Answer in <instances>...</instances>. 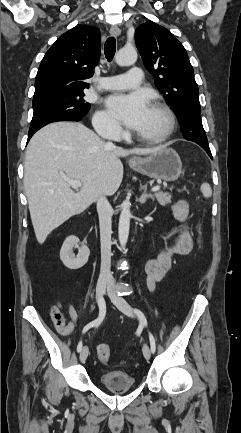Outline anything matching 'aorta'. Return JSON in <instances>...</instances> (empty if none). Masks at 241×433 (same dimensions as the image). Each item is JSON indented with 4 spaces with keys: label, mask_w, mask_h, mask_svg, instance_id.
I'll return each mask as SVG.
<instances>
[{
    "label": "aorta",
    "mask_w": 241,
    "mask_h": 433,
    "mask_svg": "<svg viewBox=\"0 0 241 433\" xmlns=\"http://www.w3.org/2000/svg\"><path fill=\"white\" fill-rule=\"evenodd\" d=\"M116 63L120 66L132 65L137 60V52L133 48H123L119 50L115 57ZM131 203L129 200L123 201L121 205V214L119 218L118 237L121 248H125L130 227V212Z\"/></svg>",
    "instance_id": "obj_1"
}]
</instances>
